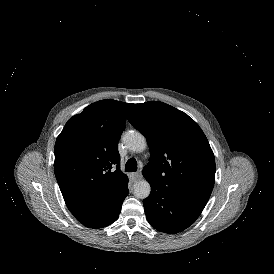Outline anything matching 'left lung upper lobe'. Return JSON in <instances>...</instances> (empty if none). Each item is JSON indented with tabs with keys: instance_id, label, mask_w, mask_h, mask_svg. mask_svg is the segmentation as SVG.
Returning a JSON list of instances; mask_svg holds the SVG:
<instances>
[{
	"instance_id": "5c2ea615",
	"label": "left lung upper lobe",
	"mask_w": 274,
	"mask_h": 274,
	"mask_svg": "<svg viewBox=\"0 0 274 274\" xmlns=\"http://www.w3.org/2000/svg\"><path fill=\"white\" fill-rule=\"evenodd\" d=\"M128 120L149 145L151 158L144 177L207 202L215 182V159L198 124L184 112L156 101L136 104Z\"/></svg>"
}]
</instances>
